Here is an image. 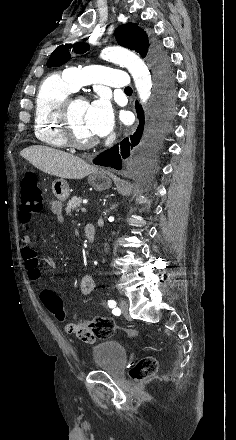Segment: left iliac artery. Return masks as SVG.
Here are the masks:
<instances>
[{
  "label": "left iliac artery",
  "mask_w": 236,
  "mask_h": 440,
  "mask_svg": "<svg viewBox=\"0 0 236 440\" xmlns=\"http://www.w3.org/2000/svg\"><path fill=\"white\" fill-rule=\"evenodd\" d=\"M108 306L110 308H113L112 312H113L114 315H117L120 312L119 309L116 308V302L114 300H109L108 301Z\"/></svg>",
  "instance_id": "left-iliac-artery-1"
}]
</instances>
